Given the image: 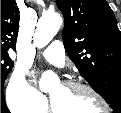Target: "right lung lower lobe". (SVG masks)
<instances>
[{
	"label": "right lung lower lobe",
	"mask_w": 121,
	"mask_h": 113,
	"mask_svg": "<svg viewBox=\"0 0 121 113\" xmlns=\"http://www.w3.org/2000/svg\"><path fill=\"white\" fill-rule=\"evenodd\" d=\"M1 113H10V111L6 107L4 100H1Z\"/></svg>",
	"instance_id": "obj_1"
}]
</instances>
